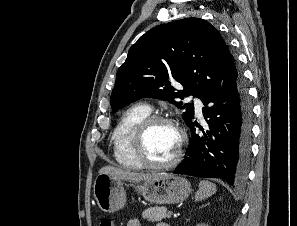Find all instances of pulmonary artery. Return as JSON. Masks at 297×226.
Masks as SVG:
<instances>
[{
  "label": "pulmonary artery",
  "instance_id": "1",
  "mask_svg": "<svg viewBox=\"0 0 297 226\" xmlns=\"http://www.w3.org/2000/svg\"><path fill=\"white\" fill-rule=\"evenodd\" d=\"M193 102L195 104V110H196L197 115L202 116V102L197 98H194Z\"/></svg>",
  "mask_w": 297,
  "mask_h": 226
}]
</instances>
